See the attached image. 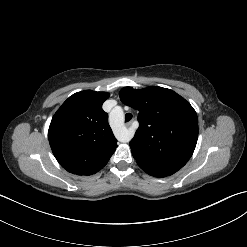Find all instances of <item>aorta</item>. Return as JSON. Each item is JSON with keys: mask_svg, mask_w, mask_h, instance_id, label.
I'll return each mask as SVG.
<instances>
[{"mask_svg": "<svg viewBox=\"0 0 247 247\" xmlns=\"http://www.w3.org/2000/svg\"><path fill=\"white\" fill-rule=\"evenodd\" d=\"M112 116L113 117H117L120 121V124H121V127H120V132L118 134V139L119 141L121 142H129L133 135H134V130L133 129H128L126 127H124L122 124H123V119H124V116H123V111L120 107H115L113 110H112Z\"/></svg>", "mask_w": 247, "mask_h": 247, "instance_id": "1", "label": "aorta"}]
</instances>
